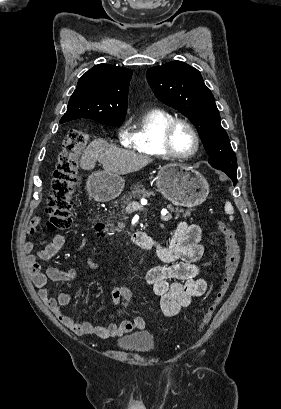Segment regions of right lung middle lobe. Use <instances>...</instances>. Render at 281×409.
I'll use <instances>...</instances> for the list:
<instances>
[{
  "instance_id": "1",
  "label": "right lung middle lobe",
  "mask_w": 281,
  "mask_h": 409,
  "mask_svg": "<svg viewBox=\"0 0 281 409\" xmlns=\"http://www.w3.org/2000/svg\"><path fill=\"white\" fill-rule=\"evenodd\" d=\"M123 121L124 119L122 120H99L98 122L104 125H108V126H117L123 123Z\"/></svg>"
}]
</instances>
